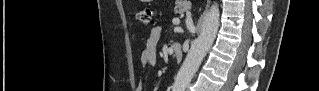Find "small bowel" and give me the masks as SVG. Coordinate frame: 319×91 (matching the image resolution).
<instances>
[{
    "mask_svg": "<svg viewBox=\"0 0 319 91\" xmlns=\"http://www.w3.org/2000/svg\"><path fill=\"white\" fill-rule=\"evenodd\" d=\"M162 28L156 26L150 31L145 47L141 51L140 62L143 66H154L157 64V46L161 38Z\"/></svg>",
    "mask_w": 319,
    "mask_h": 91,
    "instance_id": "small-bowel-1",
    "label": "small bowel"
}]
</instances>
